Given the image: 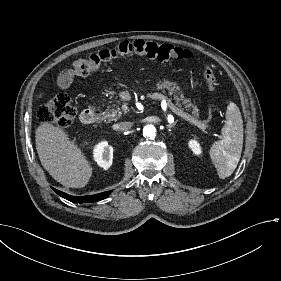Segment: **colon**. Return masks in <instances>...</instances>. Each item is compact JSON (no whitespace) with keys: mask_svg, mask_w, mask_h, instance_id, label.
<instances>
[{"mask_svg":"<svg viewBox=\"0 0 281 281\" xmlns=\"http://www.w3.org/2000/svg\"><path fill=\"white\" fill-rule=\"evenodd\" d=\"M140 56L156 59L160 62L183 61L190 58V53L170 44L151 41L123 42L113 49L102 50L74 61L71 71L76 76H88L99 71L104 65L118 59ZM203 75L209 87L217 91L218 81L211 68L204 66ZM75 109L66 93H59L46 101L38 110L37 119L43 125L55 124L61 128L71 125Z\"/></svg>","mask_w":281,"mask_h":281,"instance_id":"1","label":"colon"}]
</instances>
